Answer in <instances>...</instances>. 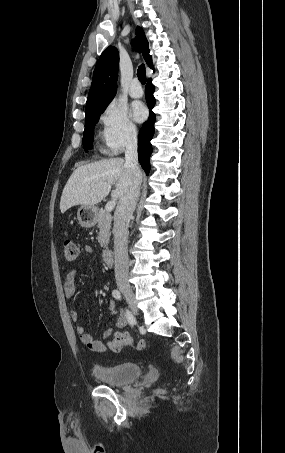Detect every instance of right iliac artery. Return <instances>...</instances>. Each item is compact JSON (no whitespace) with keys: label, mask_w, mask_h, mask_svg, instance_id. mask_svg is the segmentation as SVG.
I'll use <instances>...</instances> for the list:
<instances>
[{"label":"right iliac artery","mask_w":285,"mask_h":453,"mask_svg":"<svg viewBox=\"0 0 285 453\" xmlns=\"http://www.w3.org/2000/svg\"><path fill=\"white\" fill-rule=\"evenodd\" d=\"M112 295L115 299L121 300V293L118 290H113ZM126 316L128 318L129 324L131 326H133L134 320H133V317H132L131 313L129 312V310H126Z\"/></svg>","instance_id":"right-iliac-artery-1"}]
</instances>
